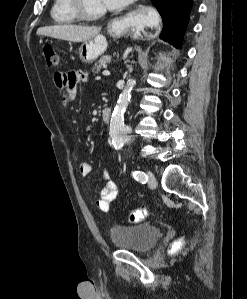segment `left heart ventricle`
<instances>
[{
    "label": "left heart ventricle",
    "instance_id": "1",
    "mask_svg": "<svg viewBox=\"0 0 247 299\" xmlns=\"http://www.w3.org/2000/svg\"><path fill=\"white\" fill-rule=\"evenodd\" d=\"M86 1V6L88 10L92 12L100 11L105 9V6L102 2V0H85Z\"/></svg>",
    "mask_w": 247,
    "mask_h": 299
}]
</instances>
